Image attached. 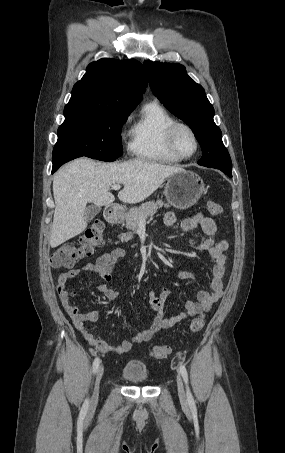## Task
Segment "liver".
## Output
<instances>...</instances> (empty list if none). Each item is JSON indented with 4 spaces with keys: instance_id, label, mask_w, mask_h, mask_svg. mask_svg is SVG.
<instances>
[{
    "instance_id": "obj_1",
    "label": "liver",
    "mask_w": 285,
    "mask_h": 453,
    "mask_svg": "<svg viewBox=\"0 0 285 453\" xmlns=\"http://www.w3.org/2000/svg\"><path fill=\"white\" fill-rule=\"evenodd\" d=\"M181 170L140 159L104 163L79 158L66 164L53 177L55 211L50 246L55 248L86 229L87 203L99 207L112 204L115 200L109 192L112 185L123 184L119 200L135 204L144 201L166 178Z\"/></svg>"
}]
</instances>
